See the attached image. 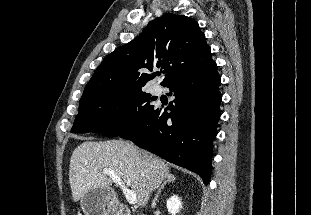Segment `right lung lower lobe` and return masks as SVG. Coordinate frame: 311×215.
I'll return each mask as SVG.
<instances>
[{"label":"right lung lower lobe","mask_w":311,"mask_h":215,"mask_svg":"<svg viewBox=\"0 0 311 215\" xmlns=\"http://www.w3.org/2000/svg\"><path fill=\"white\" fill-rule=\"evenodd\" d=\"M220 82L215 61L174 79L165 86L175 96L165 111L154 108L120 137L199 174L207 184L220 118Z\"/></svg>","instance_id":"obj_1"}]
</instances>
